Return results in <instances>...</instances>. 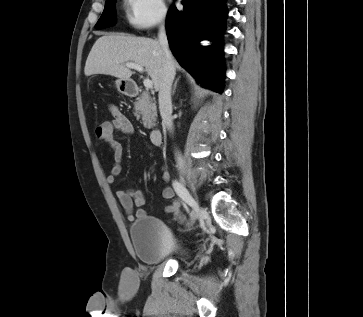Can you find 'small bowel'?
I'll use <instances>...</instances> for the list:
<instances>
[{
    "label": "small bowel",
    "instance_id": "1",
    "mask_svg": "<svg viewBox=\"0 0 363 317\" xmlns=\"http://www.w3.org/2000/svg\"><path fill=\"white\" fill-rule=\"evenodd\" d=\"M109 110L113 119L110 122L105 123V126L95 133L97 137L107 143L112 150L115 163L107 176V182L113 185L116 182L117 177L121 174V161L123 158V145L120 141L116 140L115 133L120 132L125 135H130L133 133V125L128 117L116 106H110ZM162 179L166 183L170 180V174L165 167H162ZM162 195L165 199L171 201L165 208V212L172 214L173 217H177L180 213L181 203L174 197L173 189L166 186L163 189ZM115 196L119 204L125 210L130 221L146 216V212L143 209L138 208L134 211L135 207H140L145 202V197L141 190L136 188L118 190L115 192Z\"/></svg>",
    "mask_w": 363,
    "mask_h": 317
}]
</instances>
